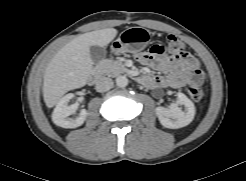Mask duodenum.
Here are the masks:
<instances>
[{
    "mask_svg": "<svg viewBox=\"0 0 246 181\" xmlns=\"http://www.w3.org/2000/svg\"><path fill=\"white\" fill-rule=\"evenodd\" d=\"M101 76H102L101 71L99 69H95L90 73L88 77V82L92 85L98 84L101 80ZM136 79L139 83L144 82V76H137Z\"/></svg>",
    "mask_w": 246,
    "mask_h": 181,
    "instance_id": "410a0bca",
    "label": "duodenum"
}]
</instances>
